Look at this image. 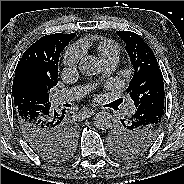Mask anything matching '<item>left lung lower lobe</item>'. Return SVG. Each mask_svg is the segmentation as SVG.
Instances as JSON below:
<instances>
[{
	"mask_svg": "<svg viewBox=\"0 0 184 184\" xmlns=\"http://www.w3.org/2000/svg\"><path fill=\"white\" fill-rule=\"evenodd\" d=\"M136 108L137 111L129 119L133 125L141 126L143 124L153 123L163 116L164 96L157 95L151 101H144Z\"/></svg>",
	"mask_w": 184,
	"mask_h": 184,
	"instance_id": "obj_1",
	"label": "left lung lower lobe"
}]
</instances>
